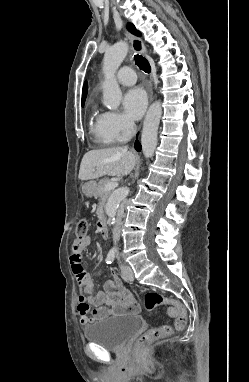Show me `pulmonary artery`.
<instances>
[{
    "label": "pulmonary artery",
    "instance_id": "pulmonary-artery-1",
    "mask_svg": "<svg viewBox=\"0 0 249 382\" xmlns=\"http://www.w3.org/2000/svg\"><path fill=\"white\" fill-rule=\"evenodd\" d=\"M116 80L122 85L130 86L136 82V74L131 67L125 66L117 72Z\"/></svg>",
    "mask_w": 249,
    "mask_h": 382
}]
</instances>
